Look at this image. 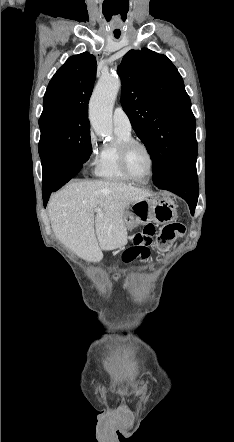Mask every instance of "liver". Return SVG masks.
I'll list each match as a JSON object with an SVG mask.
<instances>
[{
  "instance_id": "1",
  "label": "liver",
  "mask_w": 234,
  "mask_h": 442,
  "mask_svg": "<svg viewBox=\"0 0 234 442\" xmlns=\"http://www.w3.org/2000/svg\"><path fill=\"white\" fill-rule=\"evenodd\" d=\"M148 196L146 190L119 182H71L49 200L53 232L79 257L100 262L102 250L120 249L127 244L125 209ZM95 209H100L96 215Z\"/></svg>"
}]
</instances>
